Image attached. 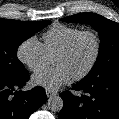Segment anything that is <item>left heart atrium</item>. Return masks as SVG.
<instances>
[{
	"mask_svg": "<svg viewBox=\"0 0 119 119\" xmlns=\"http://www.w3.org/2000/svg\"><path fill=\"white\" fill-rule=\"evenodd\" d=\"M73 76L62 66H55L38 71L33 76V82L49 90H56L70 82Z\"/></svg>",
	"mask_w": 119,
	"mask_h": 119,
	"instance_id": "1",
	"label": "left heart atrium"
}]
</instances>
